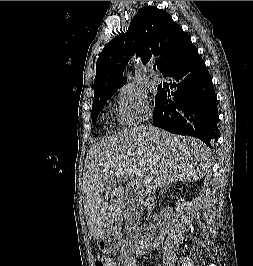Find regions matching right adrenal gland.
Here are the masks:
<instances>
[{"label":"right adrenal gland","mask_w":253,"mask_h":266,"mask_svg":"<svg viewBox=\"0 0 253 266\" xmlns=\"http://www.w3.org/2000/svg\"><path fill=\"white\" fill-rule=\"evenodd\" d=\"M174 182H169V183H163V186H162V188L160 189V192L163 194V193H165L166 191H167V186H170V185H172Z\"/></svg>","instance_id":"2a0ac1e0"}]
</instances>
